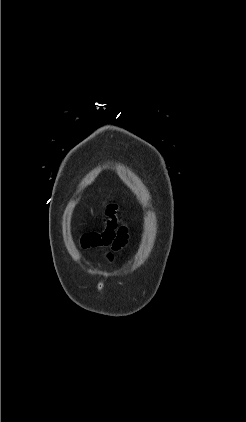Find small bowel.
Listing matches in <instances>:
<instances>
[{
    "mask_svg": "<svg viewBox=\"0 0 246 422\" xmlns=\"http://www.w3.org/2000/svg\"><path fill=\"white\" fill-rule=\"evenodd\" d=\"M115 209V206H109L107 210L108 220L102 232H91L83 236L84 246H112L113 249H119L124 245L127 239V229L124 226L118 227Z\"/></svg>",
    "mask_w": 246,
    "mask_h": 422,
    "instance_id": "small-bowel-1",
    "label": "small bowel"
}]
</instances>
